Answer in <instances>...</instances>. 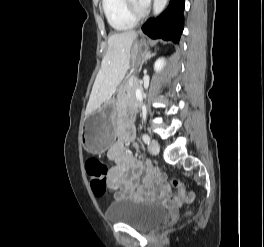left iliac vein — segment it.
<instances>
[{
	"label": "left iliac vein",
	"mask_w": 264,
	"mask_h": 247,
	"mask_svg": "<svg viewBox=\"0 0 264 247\" xmlns=\"http://www.w3.org/2000/svg\"><path fill=\"white\" fill-rule=\"evenodd\" d=\"M159 144L156 140H152L148 146V150L151 154L157 155L159 153Z\"/></svg>",
	"instance_id": "1"
}]
</instances>
